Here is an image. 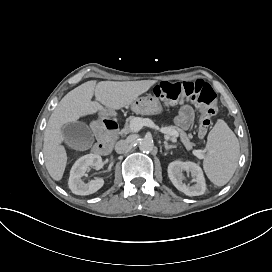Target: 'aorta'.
I'll list each match as a JSON object with an SVG mask.
<instances>
[{"label": "aorta", "mask_w": 272, "mask_h": 272, "mask_svg": "<svg viewBox=\"0 0 272 272\" xmlns=\"http://www.w3.org/2000/svg\"><path fill=\"white\" fill-rule=\"evenodd\" d=\"M139 149L142 152H151L154 149V143L152 139L144 138L140 141Z\"/></svg>", "instance_id": "1"}]
</instances>
